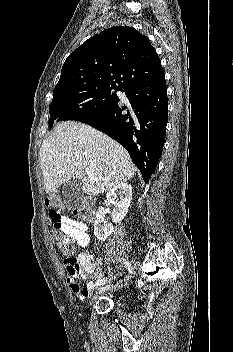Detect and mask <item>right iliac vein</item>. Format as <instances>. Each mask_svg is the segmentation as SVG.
Wrapping results in <instances>:
<instances>
[{
  "label": "right iliac vein",
  "mask_w": 233,
  "mask_h": 352,
  "mask_svg": "<svg viewBox=\"0 0 233 352\" xmlns=\"http://www.w3.org/2000/svg\"><path fill=\"white\" fill-rule=\"evenodd\" d=\"M136 266V263L134 264V268ZM131 276H129L124 282H121L120 284H117L111 288H108V289H105V290H102L100 291L98 294H96L93 298H92V301L91 302H94L96 299H98L99 295L100 294H103V293H110V292H113V291H116L117 289L125 286L128 282V280L130 279Z\"/></svg>",
  "instance_id": "1"
}]
</instances>
